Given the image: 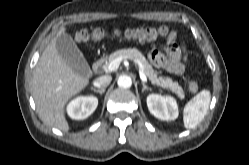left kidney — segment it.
I'll list each match as a JSON object with an SVG mask.
<instances>
[{
  "mask_svg": "<svg viewBox=\"0 0 249 165\" xmlns=\"http://www.w3.org/2000/svg\"><path fill=\"white\" fill-rule=\"evenodd\" d=\"M147 106L152 115L161 120H175L178 117V105L171 96L150 94L147 97Z\"/></svg>",
  "mask_w": 249,
  "mask_h": 165,
  "instance_id": "1",
  "label": "left kidney"
}]
</instances>
